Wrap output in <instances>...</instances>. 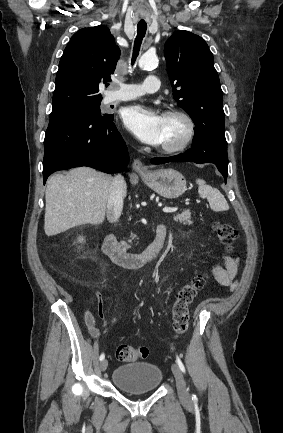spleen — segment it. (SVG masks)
Segmentation results:
<instances>
[{
  "mask_svg": "<svg viewBox=\"0 0 283 433\" xmlns=\"http://www.w3.org/2000/svg\"><path fill=\"white\" fill-rule=\"evenodd\" d=\"M196 182L201 198H207L212 210H216V212H219V210H228L229 204L218 188H212V186L206 184L205 180H202V178H197Z\"/></svg>",
  "mask_w": 283,
  "mask_h": 433,
  "instance_id": "3e777b00",
  "label": "spleen"
}]
</instances>
